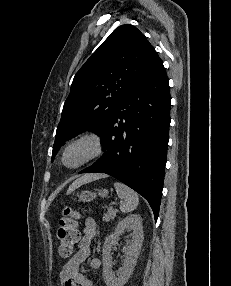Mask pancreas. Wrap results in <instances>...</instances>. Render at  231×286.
Masks as SVG:
<instances>
[{"mask_svg": "<svg viewBox=\"0 0 231 286\" xmlns=\"http://www.w3.org/2000/svg\"><path fill=\"white\" fill-rule=\"evenodd\" d=\"M116 213H117V210L109 208L107 213L104 215L103 220L108 222V221L114 219L116 216Z\"/></svg>", "mask_w": 231, "mask_h": 286, "instance_id": "cf45deb5", "label": "pancreas"}]
</instances>
